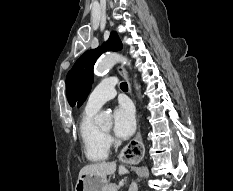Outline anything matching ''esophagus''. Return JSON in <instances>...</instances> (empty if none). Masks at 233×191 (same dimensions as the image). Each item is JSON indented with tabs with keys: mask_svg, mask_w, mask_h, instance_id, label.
Here are the masks:
<instances>
[{
	"mask_svg": "<svg viewBox=\"0 0 233 191\" xmlns=\"http://www.w3.org/2000/svg\"><path fill=\"white\" fill-rule=\"evenodd\" d=\"M117 70L127 81L129 92L132 94V88L126 70L120 65L117 67ZM138 156H144V145L140 130L137 131L135 137L122 149L120 153V158L123 159L124 164H138L140 161Z\"/></svg>",
	"mask_w": 233,
	"mask_h": 191,
	"instance_id": "34e87169",
	"label": "esophagus"
}]
</instances>
